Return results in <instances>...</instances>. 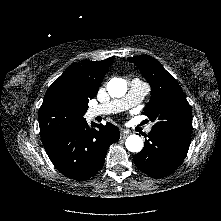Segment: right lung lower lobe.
I'll return each mask as SVG.
<instances>
[{
  "label": "right lung lower lobe",
  "mask_w": 221,
  "mask_h": 221,
  "mask_svg": "<svg viewBox=\"0 0 221 221\" xmlns=\"http://www.w3.org/2000/svg\"><path fill=\"white\" fill-rule=\"evenodd\" d=\"M119 138L118 128L111 123L93 124L90 128L84 121L62 139L46 146L45 150L60 173L84 181L103 167L109 146Z\"/></svg>",
  "instance_id": "right-lung-lower-lobe-1"
}]
</instances>
